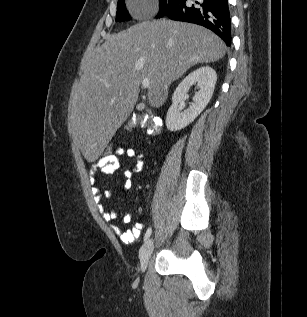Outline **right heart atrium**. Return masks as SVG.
Instances as JSON below:
<instances>
[{
    "instance_id": "1",
    "label": "right heart atrium",
    "mask_w": 307,
    "mask_h": 317,
    "mask_svg": "<svg viewBox=\"0 0 307 317\" xmlns=\"http://www.w3.org/2000/svg\"><path fill=\"white\" fill-rule=\"evenodd\" d=\"M136 1H142V0H136ZM154 13V7L150 5H143L138 9V15L140 17H148Z\"/></svg>"
}]
</instances>
